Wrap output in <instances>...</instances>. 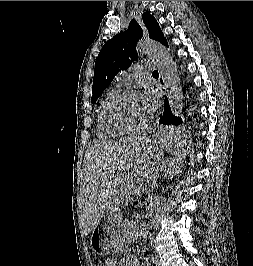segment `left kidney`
<instances>
[{"label": "left kidney", "mask_w": 253, "mask_h": 266, "mask_svg": "<svg viewBox=\"0 0 253 266\" xmlns=\"http://www.w3.org/2000/svg\"><path fill=\"white\" fill-rule=\"evenodd\" d=\"M142 236L141 231L137 227L133 219L125 220L123 225V238L127 242H135L139 237Z\"/></svg>", "instance_id": "1"}]
</instances>
